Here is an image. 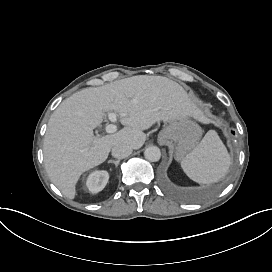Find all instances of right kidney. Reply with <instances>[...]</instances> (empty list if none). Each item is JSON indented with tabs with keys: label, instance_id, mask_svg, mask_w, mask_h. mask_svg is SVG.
Returning <instances> with one entry per match:
<instances>
[{
	"label": "right kidney",
	"instance_id": "ca27d5eb",
	"mask_svg": "<svg viewBox=\"0 0 272 272\" xmlns=\"http://www.w3.org/2000/svg\"><path fill=\"white\" fill-rule=\"evenodd\" d=\"M109 180V174L105 170L93 171L89 174L86 180V186L91 193L102 191Z\"/></svg>",
	"mask_w": 272,
	"mask_h": 272
}]
</instances>
